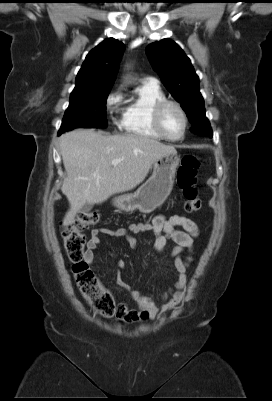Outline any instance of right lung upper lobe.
I'll return each instance as SVG.
<instances>
[{
	"mask_svg": "<svg viewBox=\"0 0 272 401\" xmlns=\"http://www.w3.org/2000/svg\"><path fill=\"white\" fill-rule=\"evenodd\" d=\"M123 51L124 44L113 38L104 40L92 49L76 76V86L70 97L95 90L111 89Z\"/></svg>",
	"mask_w": 272,
	"mask_h": 401,
	"instance_id": "1",
	"label": "right lung upper lobe"
}]
</instances>
